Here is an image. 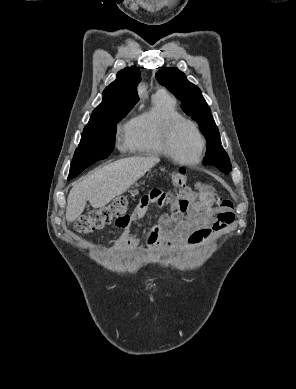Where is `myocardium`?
I'll use <instances>...</instances> for the list:
<instances>
[{
  "label": "myocardium",
  "instance_id": "1",
  "mask_svg": "<svg viewBox=\"0 0 296 389\" xmlns=\"http://www.w3.org/2000/svg\"><path fill=\"white\" fill-rule=\"evenodd\" d=\"M182 123L188 124L194 129V131L199 139V142H200L199 153H198V156L194 160H185V159L179 158L175 154L173 147H172V138H173L174 131ZM161 144H162V148H163L164 153L168 157H170L175 162L180 163V164H184V165L198 164L202 160L204 153H205V150H206V140H205V137H204L203 133L201 132L199 126L193 120L186 118V117H183L181 115L172 117L164 123L163 128H162V132H161Z\"/></svg>",
  "mask_w": 296,
  "mask_h": 389
}]
</instances>
